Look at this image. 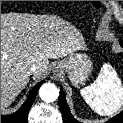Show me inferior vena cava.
I'll use <instances>...</instances> for the list:
<instances>
[{"instance_id": "inferior-vena-cava-1", "label": "inferior vena cava", "mask_w": 123, "mask_h": 123, "mask_svg": "<svg viewBox=\"0 0 123 123\" xmlns=\"http://www.w3.org/2000/svg\"><path fill=\"white\" fill-rule=\"evenodd\" d=\"M36 69H37V67H36L35 65H33V66L29 69L28 74L34 73V72L36 71Z\"/></svg>"}]
</instances>
